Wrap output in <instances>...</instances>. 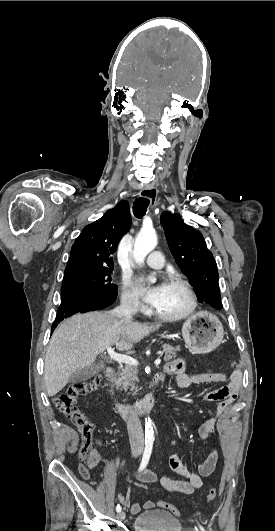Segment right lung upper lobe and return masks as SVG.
Returning a JSON list of instances; mask_svg holds the SVG:
<instances>
[{
    "label": "right lung upper lobe",
    "instance_id": "right-lung-upper-lobe-1",
    "mask_svg": "<svg viewBox=\"0 0 275 531\" xmlns=\"http://www.w3.org/2000/svg\"><path fill=\"white\" fill-rule=\"evenodd\" d=\"M131 226L127 201L122 200L87 225L71 248L65 272L84 268H113V255Z\"/></svg>",
    "mask_w": 275,
    "mask_h": 531
}]
</instances>
